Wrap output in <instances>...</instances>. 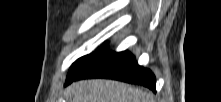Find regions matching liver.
Segmentation results:
<instances>
[{
    "label": "liver",
    "instance_id": "1",
    "mask_svg": "<svg viewBox=\"0 0 221 102\" xmlns=\"http://www.w3.org/2000/svg\"><path fill=\"white\" fill-rule=\"evenodd\" d=\"M68 102H153V95L113 80H81L65 90Z\"/></svg>",
    "mask_w": 221,
    "mask_h": 102
}]
</instances>
